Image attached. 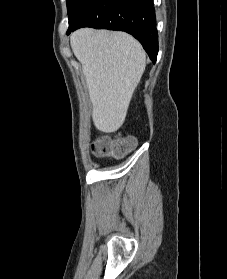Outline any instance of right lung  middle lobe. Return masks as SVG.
Returning <instances> with one entry per match:
<instances>
[{
	"mask_svg": "<svg viewBox=\"0 0 227 279\" xmlns=\"http://www.w3.org/2000/svg\"><path fill=\"white\" fill-rule=\"evenodd\" d=\"M87 0H67L69 27L74 23L79 11Z\"/></svg>",
	"mask_w": 227,
	"mask_h": 279,
	"instance_id": "dd1d6c3e",
	"label": "right lung middle lobe"
}]
</instances>
